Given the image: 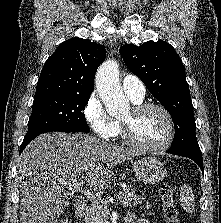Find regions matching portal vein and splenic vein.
Segmentation results:
<instances>
[{"instance_id": "18ae733b", "label": "portal vein and splenic vein", "mask_w": 221, "mask_h": 223, "mask_svg": "<svg viewBox=\"0 0 221 223\" xmlns=\"http://www.w3.org/2000/svg\"><path fill=\"white\" fill-rule=\"evenodd\" d=\"M65 186H66V188H68V190H70L72 192H80L81 194H83L87 198L91 199L92 201H96L97 203H103L102 200H100L99 198L94 196L91 191L85 189L83 187V185H81V184H74V185H72V184L66 182ZM119 195L120 196L118 197V199H121L122 192H119Z\"/></svg>"}]
</instances>
